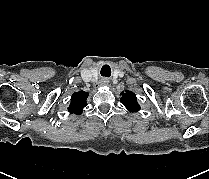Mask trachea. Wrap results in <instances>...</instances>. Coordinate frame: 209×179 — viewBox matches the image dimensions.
Wrapping results in <instances>:
<instances>
[{
    "label": "trachea",
    "instance_id": "trachea-1",
    "mask_svg": "<svg viewBox=\"0 0 209 179\" xmlns=\"http://www.w3.org/2000/svg\"><path fill=\"white\" fill-rule=\"evenodd\" d=\"M101 75L105 77H110L111 75V69L109 66L105 65L101 69Z\"/></svg>",
    "mask_w": 209,
    "mask_h": 179
}]
</instances>
